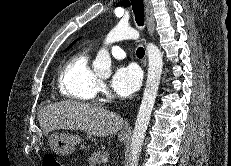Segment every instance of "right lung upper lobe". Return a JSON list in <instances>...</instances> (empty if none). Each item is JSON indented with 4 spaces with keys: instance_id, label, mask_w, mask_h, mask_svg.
<instances>
[{
    "instance_id": "cb5924a9",
    "label": "right lung upper lobe",
    "mask_w": 231,
    "mask_h": 166,
    "mask_svg": "<svg viewBox=\"0 0 231 166\" xmlns=\"http://www.w3.org/2000/svg\"><path fill=\"white\" fill-rule=\"evenodd\" d=\"M75 42H76V40L74 41V42H72L68 47H67V49L66 50H68L69 48H71L72 47V45H74L75 44Z\"/></svg>"
}]
</instances>
